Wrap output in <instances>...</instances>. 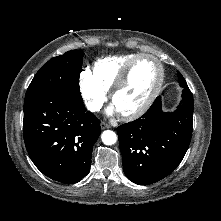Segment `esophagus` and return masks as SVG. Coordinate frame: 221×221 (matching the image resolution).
Returning <instances> with one entry per match:
<instances>
[{
  "mask_svg": "<svg viewBox=\"0 0 221 221\" xmlns=\"http://www.w3.org/2000/svg\"><path fill=\"white\" fill-rule=\"evenodd\" d=\"M110 127H111V126H110L109 124L105 123V122H102V123H101V129H102V130L108 129V128H110Z\"/></svg>",
  "mask_w": 221,
  "mask_h": 221,
  "instance_id": "obj_1",
  "label": "esophagus"
}]
</instances>
